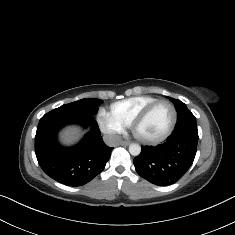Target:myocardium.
Returning <instances> with one entry per match:
<instances>
[{"instance_id":"f54148a6","label":"myocardium","mask_w":235,"mask_h":235,"mask_svg":"<svg viewBox=\"0 0 235 235\" xmlns=\"http://www.w3.org/2000/svg\"><path fill=\"white\" fill-rule=\"evenodd\" d=\"M163 103L170 105V107L172 108V111H173L172 121H171L169 129L167 130V132L165 134H163L162 136L156 137V138H150V139L141 138L137 134L138 127L149 118V116L155 110V108L157 106H159L160 104H163ZM177 119H178V112H177L176 106L171 101H169L167 99H158L155 102H153L152 104H150L147 108H145L133 120L130 128H131L132 135L136 141H138L139 143H142V144H146V145H155V144H158V143H161V142L167 140L173 134L175 127H176V124H177Z\"/></svg>"}]
</instances>
